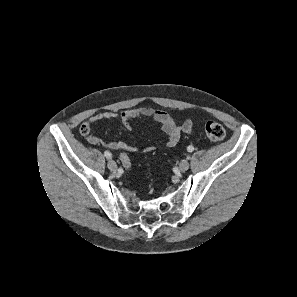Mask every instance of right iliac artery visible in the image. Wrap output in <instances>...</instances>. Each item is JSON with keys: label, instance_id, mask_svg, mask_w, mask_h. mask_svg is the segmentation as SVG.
<instances>
[{"label": "right iliac artery", "instance_id": "82829eb1", "mask_svg": "<svg viewBox=\"0 0 297 297\" xmlns=\"http://www.w3.org/2000/svg\"><path fill=\"white\" fill-rule=\"evenodd\" d=\"M104 155H105V157L107 158V159H110L111 158V153L109 152V151H105L104 152Z\"/></svg>", "mask_w": 297, "mask_h": 297}]
</instances>
